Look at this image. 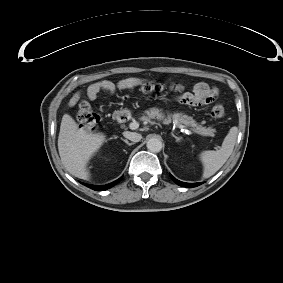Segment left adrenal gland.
<instances>
[{"label": "left adrenal gland", "instance_id": "1", "mask_svg": "<svg viewBox=\"0 0 283 283\" xmlns=\"http://www.w3.org/2000/svg\"><path fill=\"white\" fill-rule=\"evenodd\" d=\"M172 136L176 139L177 142L180 141V139H181V138L175 136L174 134H172Z\"/></svg>", "mask_w": 283, "mask_h": 283}]
</instances>
